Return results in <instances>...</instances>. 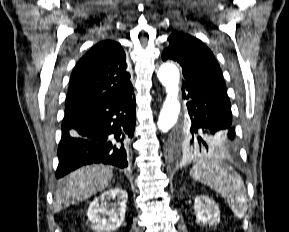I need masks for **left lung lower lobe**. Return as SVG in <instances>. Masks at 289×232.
<instances>
[{
	"label": "left lung lower lobe",
	"mask_w": 289,
	"mask_h": 232,
	"mask_svg": "<svg viewBox=\"0 0 289 232\" xmlns=\"http://www.w3.org/2000/svg\"><path fill=\"white\" fill-rule=\"evenodd\" d=\"M182 88L184 99L189 100L190 131L200 143L207 145L205 151L236 155L237 141L226 92L210 84L188 79H184ZM185 90L188 94H185Z\"/></svg>",
	"instance_id": "1"
}]
</instances>
